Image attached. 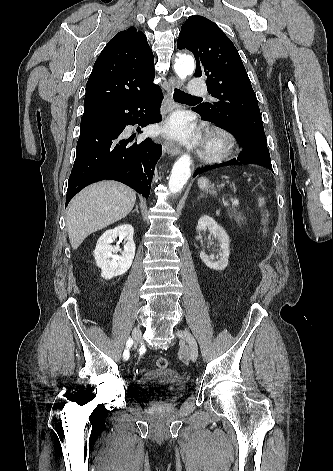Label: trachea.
Segmentation results:
<instances>
[{"label":"trachea","mask_w":333,"mask_h":471,"mask_svg":"<svg viewBox=\"0 0 333 471\" xmlns=\"http://www.w3.org/2000/svg\"><path fill=\"white\" fill-rule=\"evenodd\" d=\"M173 97H174V100L178 102L184 101V100H190V99H200L199 97L191 96L179 89H175Z\"/></svg>","instance_id":"obj_1"}]
</instances>
